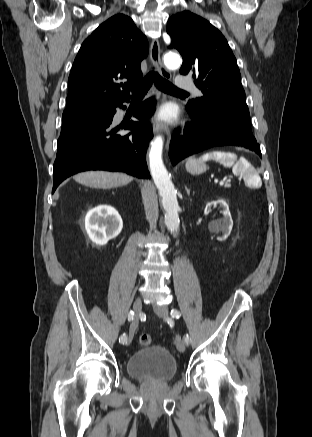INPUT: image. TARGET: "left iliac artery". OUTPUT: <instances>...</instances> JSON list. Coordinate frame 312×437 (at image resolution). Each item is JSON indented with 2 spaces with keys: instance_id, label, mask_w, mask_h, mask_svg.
<instances>
[{
  "instance_id": "44dca946",
  "label": "left iliac artery",
  "mask_w": 312,
  "mask_h": 437,
  "mask_svg": "<svg viewBox=\"0 0 312 437\" xmlns=\"http://www.w3.org/2000/svg\"><path fill=\"white\" fill-rule=\"evenodd\" d=\"M171 316H172L173 318H177V319H178V318L180 317V312H179L177 309H172V310H171ZM184 340H185L186 343L189 342V336H188V334L184 336Z\"/></svg>"
}]
</instances>
